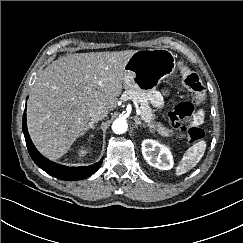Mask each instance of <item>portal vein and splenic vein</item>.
<instances>
[{
    "mask_svg": "<svg viewBox=\"0 0 243 243\" xmlns=\"http://www.w3.org/2000/svg\"><path fill=\"white\" fill-rule=\"evenodd\" d=\"M136 114H137V115H140V114H141L140 107H137V108H136Z\"/></svg>",
    "mask_w": 243,
    "mask_h": 243,
    "instance_id": "1",
    "label": "portal vein and splenic vein"
}]
</instances>
